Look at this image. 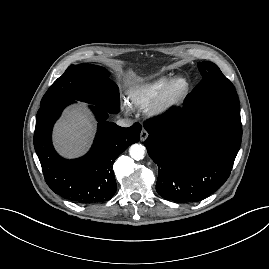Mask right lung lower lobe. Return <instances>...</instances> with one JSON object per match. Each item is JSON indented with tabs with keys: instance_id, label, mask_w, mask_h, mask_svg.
Segmentation results:
<instances>
[{
	"instance_id": "obj_1",
	"label": "right lung lower lobe",
	"mask_w": 269,
	"mask_h": 269,
	"mask_svg": "<svg viewBox=\"0 0 269 269\" xmlns=\"http://www.w3.org/2000/svg\"><path fill=\"white\" fill-rule=\"evenodd\" d=\"M73 102V99L51 101L37 113L34 147L45 181L55 193L76 203L107 201L117 188L112 163L128 145L139 141L141 125L117 126L106 120L111 112L97 105L90 106L99 122L90 151L78 159H63L53 148L51 133L62 110Z\"/></svg>"
}]
</instances>
